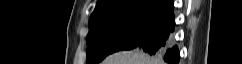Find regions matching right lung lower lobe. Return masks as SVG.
<instances>
[{
  "label": "right lung lower lobe",
  "instance_id": "obj_1",
  "mask_svg": "<svg viewBox=\"0 0 242 64\" xmlns=\"http://www.w3.org/2000/svg\"><path fill=\"white\" fill-rule=\"evenodd\" d=\"M164 15L165 18L137 47L150 55L160 57L167 64H178L180 53L173 38L175 28L173 9Z\"/></svg>",
  "mask_w": 242,
  "mask_h": 64
}]
</instances>
